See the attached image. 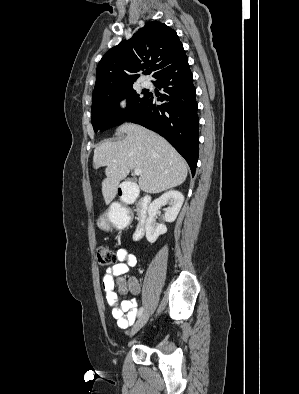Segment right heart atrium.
Here are the masks:
<instances>
[{
	"mask_svg": "<svg viewBox=\"0 0 299 394\" xmlns=\"http://www.w3.org/2000/svg\"><path fill=\"white\" fill-rule=\"evenodd\" d=\"M120 107H121V108H124V107H125V102H124V101L120 102Z\"/></svg>",
	"mask_w": 299,
	"mask_h": 394,
	"instance_id": "1",
	"label": "right heart atrium"
}]
</instances>
